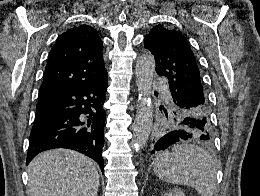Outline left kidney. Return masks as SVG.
Here are the masks:
<instances>
[{
	"instance_id": "left-kidney-1",
	"label": "left kidney",
	"mask_w": 260,
	"mask_h": 196,
	"mask_svg": "<svg viewBox=\"0 0 260 196\" xmlns=\"http://www.w3.org/2000/svg\"><path fill=\"white\" fill-rule=\"evenodd\" d=\"M164 196H185L181 190H177V188H173L170 190L169 194H164Z\"/></svg>"
}]
</instances>
